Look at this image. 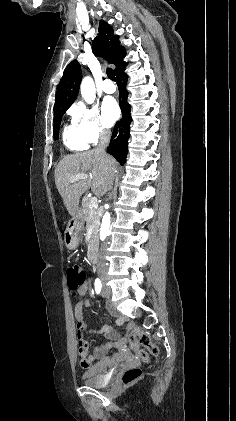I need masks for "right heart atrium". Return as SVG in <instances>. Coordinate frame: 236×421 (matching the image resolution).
Instances as JSON below:
<instances>
[{"mask_svg": "<svg viewBox=\"0 0 236 421\" xmlns=\"http://www.w3.org/2000/svg\"><path fill=\"white\" fill-rule=\"evenodd\" d=\"M71 116L74 126L90 144H96L109 135V129L96 107L78 103L72 108Z\"/></svg>", "mask_w": 236, "mask_h": 421, "instance_id": "d8ad5b80", "label": "right heart atrium"}]
</instances>
